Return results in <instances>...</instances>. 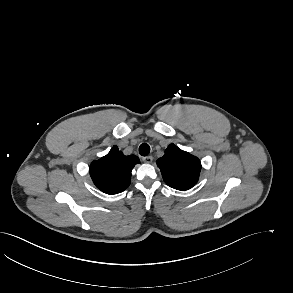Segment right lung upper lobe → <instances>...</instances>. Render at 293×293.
Returning a JSON list of instances; mask_svg holds the SVG:
<instances>
[{
	"instance_id": "cb5924a9",
	"label": "right lung upper lobe",
	"mask_w": 293,
	"mask_h": 293,
	"mask_svg": "<svg viewBox=\"0 0 293 293\" xmlns=\"http://www.w3.org/2000/svg\"><path fill=\"white\" fill-rule=\"evenodd\" d=\"M140 163L135 155L125 156L117 146L90 165V175L95 185L106 194H117L128 188L131 171Z\"/></svg>"
}]
</instances>
